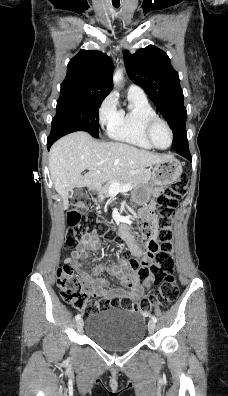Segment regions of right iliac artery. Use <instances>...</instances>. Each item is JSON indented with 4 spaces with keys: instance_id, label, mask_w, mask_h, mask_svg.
<instances>
[{
    "instance_id": "obj_1",
    "label": "right iliac artery",
    "mask_w": 228,
    "mask_h": 396,
    "mask_svg": "<svg viewBox=\"0 0 228 396\" xmlns=\"http://www.w3.org/2000/svg\"><path fill=\"white\" fill-rule=\"evenodd\" d=\"M80 319H81V315H80V314H77L76 317H75V320L78 321V320H80Z\"/></svg>"
}]
</instances>
